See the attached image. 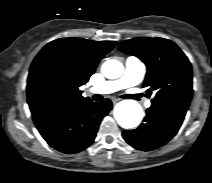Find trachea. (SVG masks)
Here are the masks:
<instances>
[{"instance_id":"1","label":"trachea","mask_w":212,"mask_h":183,"mask_svg":"<svg viewBox=\"0 0 212 183\" xmlns=\"http://www.w3.org/2000/svg\"><path fill=\"white\" fill-rule=\"evenodd\" d=\"M92 98H93L94 101H100V100L103 99V97L101 95H99V94L93 95Z\"/></svg>"}]
</instances>
